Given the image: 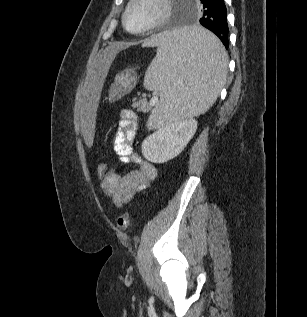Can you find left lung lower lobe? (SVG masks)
Listing matches in <instances>:
<instances>
[{
	"label": "left lung lower lobe",
	"mask_w": 307,
	"mask_h": 317,
	"mask_svg": "<svg viewBox=\"0 0 307 317\" xmlns=\"http://www.w3.org/2000/svg\"><path fill=\"white\" fill-rule=\"evenodd\" d=\"M200 3L203 6L200 24L212 31L228 49L227 9L224 0H200ZM213 57L210 55L211 60Z\"/></svg>",
	"instance_id": "obj_1"
}]
</instances>
